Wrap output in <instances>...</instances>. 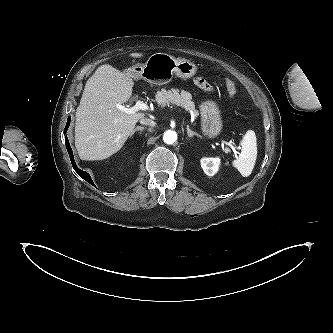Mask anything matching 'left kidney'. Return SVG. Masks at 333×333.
I'll return each instance as SVG.
<instances>
[{
    "label": "left kidney",
    "instance_id": "5707ae66",
    "mask_svg": "<svg viewBox=\"0 0 333 333\" xmlns=\"http://www.w3.org/2000/svg\"><path fill=\"white\" fill-rule=\"evenodd\" d=\"M200 162L205 174L214 176L219 169L220 158H202Z\"/></svg>",
    "mask_w": 333,
    "mask_h": 333
}]
</instances>
